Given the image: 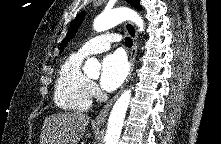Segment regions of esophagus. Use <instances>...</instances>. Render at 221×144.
<instances>
[{"label":"esophagus","instance_id":"esophagus-1","mask_svg":"<svg viewBox=\"0 0 221 144\" xmlns=\"http://www.w3.org/2000/svg\"><path fill=\"white\" fill-rule=\"evenodd\" d=\"M125 29H126L127 33L129 34V36L133 40V46H132V50H131V54H130V71H129V74H128L124 84L122 85L121 89L117 92V94L111 100H109L106 103V105L102 108V110L96 116V118L94 120V123H96V124H103L106 121L108 113H109L113 103L118 98V96L123 91V89L125 88L126 84L128 83L129 79L131 78V75L133 72L135 58H136V54H137V32H136L134 25L131 22L125 23Z\"/></svg>","mask_w":221,"mask_h":144}]
</instances>
